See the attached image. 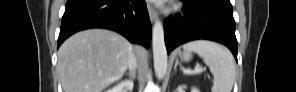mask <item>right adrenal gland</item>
Masks as SVG:
<instances>
[{
	"mask_svg": "<svg viewBox=\"0 0 296 92\" xmlns=\"http://www.w3.org/2000/svg\"><path fill=\"white\" fill-rule=\"evenodd\" d=\"M131 76H132L133 78H135V72H132V73H131Z\"/></svg>",
	"mask_w": 296,
	"mask_h": 92,
	"instance_id": "1",
	"label": "right adrenal gland"
}]
</instances>
